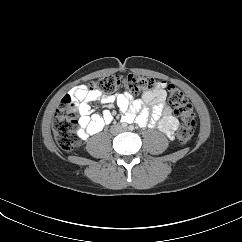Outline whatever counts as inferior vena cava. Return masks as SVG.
<instances>
[{"instance_id":"obj_1","label":"inferior vena cava","mask_w":242,"mask_h":242,"mask_svg":"<svg viewBox=\"0 0 242 242\" xmlns=\"http://www.w3.org/2000/svg\"><path fill=\"white\" fill-rule=\"evenodd\" d=\"M117 128L119 129V131H122V127L121 126H117Z\"/></svg>"}]
</instances>
